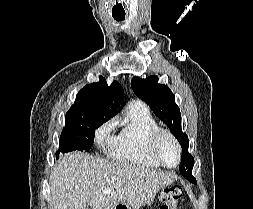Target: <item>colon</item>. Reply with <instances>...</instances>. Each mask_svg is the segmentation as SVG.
Listing matches in <instances>:
<instances>
[{
    "label": "colon",
    "instance_id": "colon-1",
    "mask_svg": "<svg viewBox=\"0 0 253 209\" xmlns=\"http://www.w3.org/2000/svg\"><path fill=\"white\" fill-rule=\"evenodd\" d=\"M183 195V189L180 185H173L164 191V200L166 205L161 209H174L175 204L181 199Z\"/></svg>",
    "mask_w": 253,
    "mask_h": 209
}]
</instances>
